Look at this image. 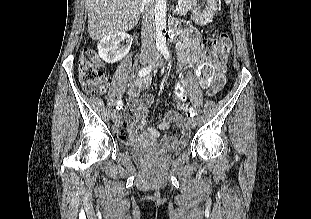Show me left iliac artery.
<instances>
[{
  "mask_svg": "<svg viewBox=\"0 0 311 219\" xmlns=\"http://www.w3.org/2000/svg\"><path fill=\"white\" fill-rule=\"evenodd\" d=\"M161 52L166 60L170 58L169 50L167 47L162 48ZM189 113L191 117L195 116V110L192 107L189 108Z\"/></svg>",
  "mask_w": 311,
  "mask_h": 219,
  "instance_id": "left-iliac-artery-1",
  "label": "left iliac artery"
}]
</instances>
